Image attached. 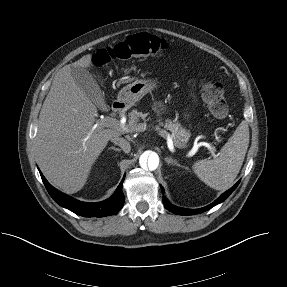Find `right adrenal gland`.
Here are the masks:
<instances>
[{"mask_svg": "<svg viewBox=\"0 0 287 287\" xmlns=\"http://www.w3.org/2000/svg\"><path fill=\"white\" fill-rule=\"evenodd\" d=\"M108 150H114V151H118V152H120V151H121V149L116 148V147H114V146L109 147V148H108Z\"/></svg>", "mask_w": 287, "mask_h": 287, "instance_id": "1", "label": "right adrenal gland"}]
</instances>
